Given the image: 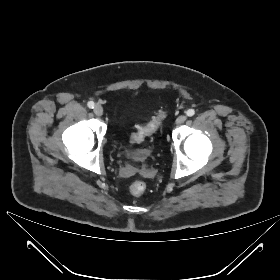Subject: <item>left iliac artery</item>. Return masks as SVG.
Masks as SVG:
<instances>
[{
  "label": "left iliac artery",
  "instance_id": "left-iliac-artery-1",
  "mask_svg": "<svg viewBox=\"0 0 280 280\" xmlns=\"http://www.w3.org/2000/svg\"><path fill=\"white\" fill-rule=\"evenodd\" d=\"M187 116L189 117H192L194 114H195V110L194 109H189L187 112H186Z\"/></svg>",
  "mask_w": 280,
  "mask_h": 280
}]
</instances>
